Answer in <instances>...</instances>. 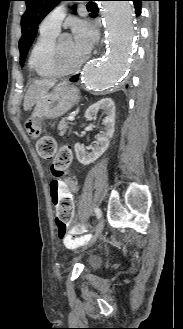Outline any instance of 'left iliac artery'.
I'll return each mask as SVG.
<instances>
[{"label": "left iliac artery", "mask_w": 183, "mask_h": 329, "mask_svg": "<svg viewBox=\"0 0 183 329\" xmlns=\"http://www.w3.org/2000/svg\"><path fill=\"white\" fill-rule=\"evenodd\" d=\"M94 212H95L96 217L98 219H100L102 217V212H101V210L98 207L94 208Z\"/></svg>", "instance_id": "obj_1"}]
</instances>
